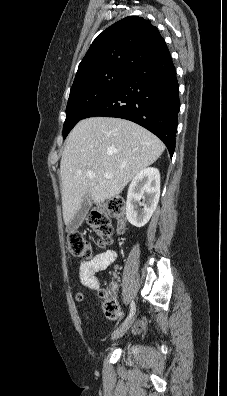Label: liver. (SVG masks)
<instances>
[{"mask_svg": "<svg viewBox=\"0 0 227 396\" xmlns=\"http://www.w3.org/2000/svg\"><path fill=\"white\" fill-rule=\"evenodd\" d=\"M164 149L158 137L131 121L100 116L82 119L70 132L60 162L65 224L79 210L85 195L94 203L119 195ZM88 171H93L95 178H89ZM104 173L112 177L106 178Z\"/></svg>", "mask_w": 227, "mask_h": 396, "instance_id": "obj_1", "label": "liver"}]
</instances>
